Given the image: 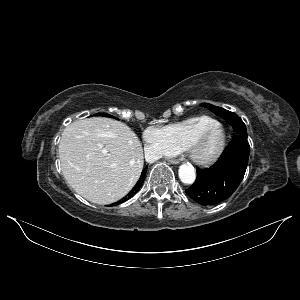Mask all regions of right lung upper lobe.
Segmentation results:
<instances>
[{
	"mask_svg": "<svg viewBox=\"0 0 300 300\" xmlns=\"http://www.w3.org/2000/svg\"><path fill=\"white\" fill-rule=\"evenodd\" d=\"M141 185L139 184V182L136 184V186L134 187V191L135 193H137V191L140 189Z\"/></svg>",
	"mask_w": 300,
	"mask_h": 300,
	"instance_id": "right-lung-upper-lobe-1",
	"label": "right lung upper lobe"
}]
</instances>
